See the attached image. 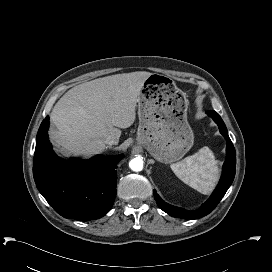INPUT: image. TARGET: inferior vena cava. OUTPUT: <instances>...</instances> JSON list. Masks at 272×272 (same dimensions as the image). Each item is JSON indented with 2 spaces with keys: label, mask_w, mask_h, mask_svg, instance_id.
Listing matches in <instances>:
<instances>
[{
  "label": "inferior vena cava",
  "mask_w": 272,
  "mask_h": 272,
  "mask_svg": "<svg viewBox=\"0 0 272 272\" xmlns=\"http://www.w3.org/2000/svg\"><path fill=\"white\" fill-rule=\"evenodd\" d=\"M105 144L108 146L116 145L118 144V140L112 136H109L105 139Z\"/></svg>",
  "instance_id": "602c4592"
}]
</instances>
